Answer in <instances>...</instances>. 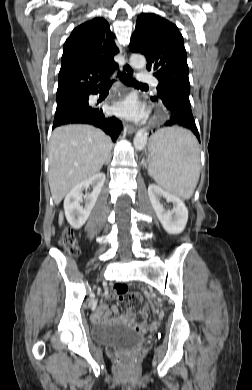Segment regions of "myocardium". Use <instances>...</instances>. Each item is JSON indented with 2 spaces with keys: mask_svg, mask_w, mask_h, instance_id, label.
Returning a JSON list of instances; mask_svg holds the SVG:
<instances>
[{
  "mask_svg": "<svg viewBox=\"0 0 252 390\" xmlns=\"http://www.w3.org/2000/svg\"><path fill=\"white\" fill-rule=\"evenodd\" d=\"M158 118H159L158 114L154 115V120H157Z\"/></svg>",
  "mask_w": 252,
  "mask_h": 390,
  "instance_id": "f54148a6",
  "label": "myocardium"
}]
</instances>
